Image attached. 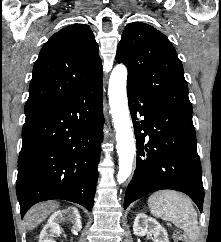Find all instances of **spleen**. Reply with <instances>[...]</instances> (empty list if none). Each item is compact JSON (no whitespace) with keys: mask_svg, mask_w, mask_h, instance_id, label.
<instances>
[{"mask_svg":"<svg viewBox=\"0 0 221 242\" xmlns=\"http://www.w3.org/2000/svg\"><path fill=\"white\" fill-rule=\"evenodd\" d=\"M153 216L171 221L194 242L199 233L197 213L191 200L177 191H158L148 199Z\"/></svg>","mask_w":221,"mask_h":242,"instance_id":"spleen-1","label":"spleen"}]
</instances>
